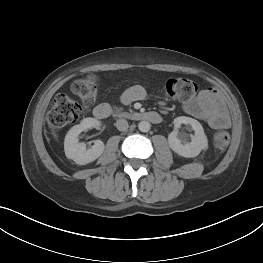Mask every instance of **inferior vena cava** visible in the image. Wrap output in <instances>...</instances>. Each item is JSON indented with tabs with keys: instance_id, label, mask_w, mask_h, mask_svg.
Returning <instances> with one entry per match:
<instances>
[{
	"instance_id": "obj_1",
	"label": "inferior vena cava",
	"mask_w": 263,
	"mask_h": 263,
	"mask_svg": "<svg viewBox=\"0 0 263 263\" xmlns=\"http://www.w3.org/2000/svg\"><path fill=\"white\" fill-rule=\"evenodd\" d=\"M116 127L119 131H126L129 127L127 120L119 119L116 121Z\"/></svg>"
}]
</instances>
